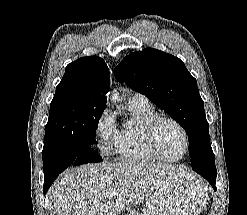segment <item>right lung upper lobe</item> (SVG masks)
<instances>
[{
	"label": "right lung upper lobe",
	"instance_id": "cb5924a9",
	"mask_svg": "<svg viewBox=\"0 0 247 215\" xmlns=\"http://www.w3.org/2000/svg\"><path fill=\"white\" fill-rule=\"evenodd\" d=\"M110 89V73L104 60L97 56L83 57L67 65L56 92L68 90L77 97L106 104Z\"/></svg>",
	"mask_w": 247,
	"mask_h": 215
}]
</instances>
